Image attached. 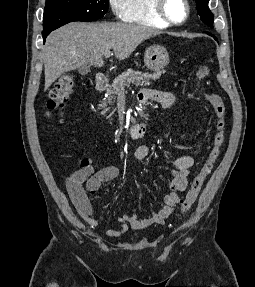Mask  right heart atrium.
I'll use <instances>...</instances> for the list:
<instances>
[{
	"label": "right heart atrium",
	"mask_w": 255,
	"mask_h": 287,
	"mask_svg": "<svg viewBox=\"0 0 255 287\" xmlns=\"http://www.w3.org/2000/svg\"><path fill=\"white\" fill-rule=\"evenodd\" d=\"M115 33V32H114ZM110 48H118V47H110Z\"/></svg>",
	"instance_id": "right-heart-atrium-1"
}]
</instances>
